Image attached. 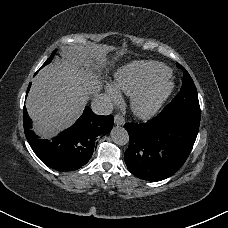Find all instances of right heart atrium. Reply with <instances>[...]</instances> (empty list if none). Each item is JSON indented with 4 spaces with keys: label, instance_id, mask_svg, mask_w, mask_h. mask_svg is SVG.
I'll use <instances>...</instances> for the list:
<instances>
[{
    "label": "right heart atrium",
    "instance_id": "1",
    "mask_svg": "<svg viewBox=\"0 0 228 228\" xmlns=\"http://www.w3.org/2000/svg\"><path fill=\"white\" fill-rule=\"evenodd\" d=\"M107 94L110 98H112L116 102L120 101V99H121L120 94L117 91V89L112 86L107 87Z\"/></svg>",
    "mask_w": 228,
    "mask_h": 228
}]
</instances>
